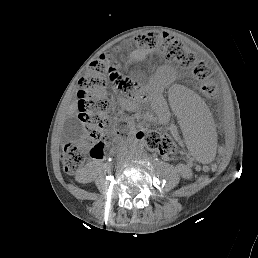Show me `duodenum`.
<instances>
[{
	"label": "duodenum",
	"mask_w": 258,
	"mask_h": 258,
	"mask_svg": "<svg viewBox=\"0 0 258 258\" xmlns=\"http://www.w3.org/2000/svg\"><path fill=\"white\" fill-rule=\"evenodd\" d=\"M90 156L93 158V159H97L98 157H101L102 155H97V153L96 152H94V151H90Z\"/></svg>",
	"instance_id": "410a0bca"
}]
</instances>
